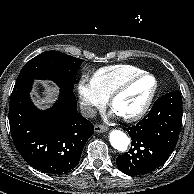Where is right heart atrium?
<instances>
[{"mask_svg":"<svg viewBox=\"0 0 194 194\" xmlns=\"http://www.w3.org/2000/svg\"><path fill=\"white\" fill-rule=\"evenodd\" d=\"M76 91L81 111L85 116L93 115L96 109L101 108L106 103V99L98 93L91 79L85 75L78 80Z\"/></svg>","mask_w":194,"mask_h":194,"instance_id":"obj_1","label":"right heart atrium"}]
</instances>
